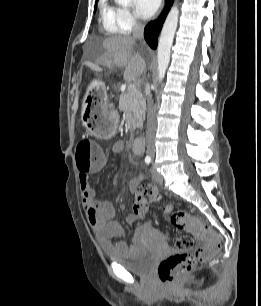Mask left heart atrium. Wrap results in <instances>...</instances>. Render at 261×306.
I'll use <instances>...</instances> for the list:
<instances>
[{
  "label": "left heart atrium",
  "instance_id": "39dd6f15",
  "mask_svg": "<svg viewBox=\"0 0 261 306\" xmlns=\"http://www.w3.org/2000/svg\"><path fill=\"white\" fill-rule=\"evenodd\" d=\"M161 3V0H134L136 14L143 19L154 15Z\"/></svg>",
  "mask_w": 261,
  "mask_h": 306
}]
</instances>
